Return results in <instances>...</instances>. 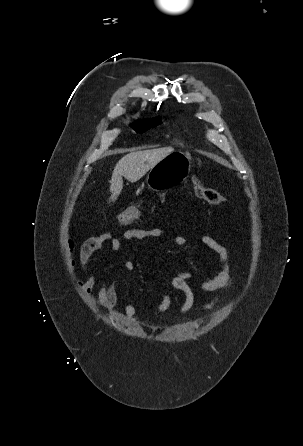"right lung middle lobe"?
<instances>
[{
  "label": "right lung middle lobe",
  "mask_w": 303,
  "mask_h": 446,
  "mask_svg": "<svg viewBox=\"0 0 303 446\" xmlns=\"http://www.w3.org/2000/svg\"><path fill=\"white\" fill-rule=\"evenodd\" d=\"M160 123H161L160 119L157 118L152 120L137 121L132 125V127L136 130V132L143 133L148 129H150L151 127H155Z\"/></svg>",
  "instance_id": "right-lung-middle-lobe-1"
}]
</instances>
